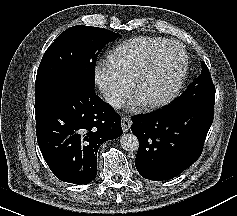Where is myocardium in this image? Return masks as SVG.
I'll return each mask as SVG.
<instances>
[{
    "label": "myocardium",
    "mask_w": 237,
    "mask_h": 216,
    "mask_svg": "<svg viewBox=\"0 0 237 216\" xmlns=\"http://www.w3.org/2000/svg\"><path fill=\"white\" fill-rule=\"evenodd\" d=\"M180 57H182V67L178 78L173 84V86L163 96L158 99H146L138 95L139 84L143 74L147 75L158 65L168 61L178 60L180 59ZM187 64L188 56L186 51L182 47L165 48L162 49L161 52L155 53L152 57L149 58L148 61L145 62V64L142 66V72L138 74V76L134 80L130 94V102L132 108L135 110H143L145 108H156L170 101L178 93V91L182 88L184 84Z\"/></svg>",
    "instance_id": "obj_1"
}]
</instances>
